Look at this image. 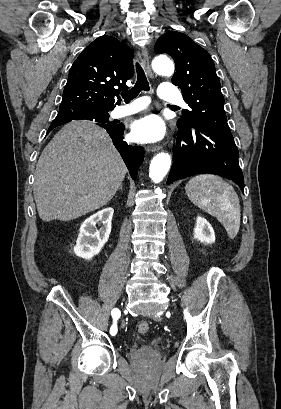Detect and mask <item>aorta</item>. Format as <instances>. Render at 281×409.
Wrapping results in <instances>:
<instances>
[{"mask_svg":"<svg viewBox=\"0 0 281 409\" xmlns=\"http://www.w3.org/2000/svg\"><path fill=\"white\" fill-rule=\"evenodd\" d=\"M153 70L163 76H170L174 72L173 62L166 56L156 57L152 62ZM171 166V157L168 153H159L151 161L149 176L153 182L163 180Z\"/></svg>","mask_w":281,"mask_h":409,"instance_id":"762f6f07","label":"aorta"}]
</instances>
